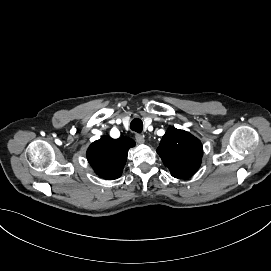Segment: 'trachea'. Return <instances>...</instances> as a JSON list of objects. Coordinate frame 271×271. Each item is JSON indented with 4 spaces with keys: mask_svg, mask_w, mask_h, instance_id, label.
Here are the masks:
<instances>
[{
    "mask_svg": "<svg viewBox=\"0 0 271 271\" xmlns=\"http://www.w3.org/2000/svg\"><path fill=\"white\" fill-rule=\"evenodd\" d=\"M130 129L137 133H141L143 130L142 120H140L139 118H134L130 123Z\"/></svg>",
    "mask_w": 271,
    "mask_h": 271,
    "instance_id": "obj_1",
    "label": "trachea"
}]
</instances>
